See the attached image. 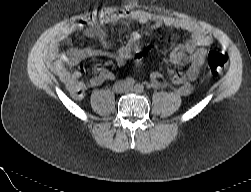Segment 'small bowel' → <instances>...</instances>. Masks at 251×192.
<instances>
[{
  "label": "small bowel",
  "mask_w": 251,
  "mask_h": 192,
  "mask_svg": "<svg viewBox=\"0 0 251 192\" xmlns=\"http://www.w3.org/2000/svg\"><path fill=\"white\" fill-rule=\"evenodd\" d=\"M119 20H130L141 24H152L155 27H166L180 29L188 33L189 38L185 42H177L170 51V60L175 64L188 63L189 67L185 71L175 72L172 74V82L176 85L175 92L179 95H187L192 89V83L199 74L200 67L204 63L206 56V47L212 42L211 36L197 23L185 19L170 16H160L145 12L143 10L123 11L120 13L100 12L96 18L84 22L83 24H67L61 27L49 39L47 53L53 60V69L65 84L70 94L75 99H81L87 89L99 86L106 80L112 79L113 73L104 67H98L96 73L87 80H80L79 72H70L66 69V64L76 66L86 58L90 57L93 52L88 49L75 50L69 55L58 52L60 42L66 40L78 28H82L88 36L103 39L102 24L114 23ZM137 37L120 48L117 53L113 54L108 49H103L98 53L100 55L113 57L119 66L134 61L138 55L135 43ZM162 73L153 71L150 74L151 85L154 88L164 87Z\"/></svg>",
  "instance_id": "1"
}]
</instances>
